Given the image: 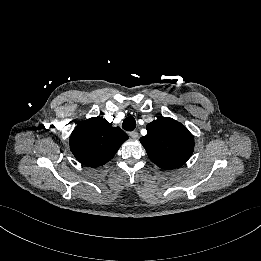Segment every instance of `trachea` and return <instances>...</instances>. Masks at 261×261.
I'll return each mask as SVG.
<instances>
[{
	"label": "trachea",
	"instance_id": "trachea-1",
	"mask_svg": "<svg viewBox=\"0 0 261 261\" xmlns=\"http://www.w3.org/2000/svg\"><path fill=\"white\" fill-rule=\"evenodd\" d=\"M135 127H136V120L132 116L127 117L122 123V128L126 131H133Z\"/></svg>",
	"mask_w": 261,
	"mask_h": 261
}]
</instances>
